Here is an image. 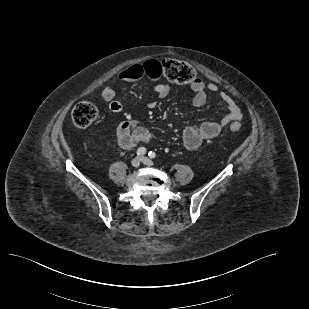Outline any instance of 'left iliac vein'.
<instances>
[{
  "instance_id": "obj_1",
  "label": "left iliac vein",
  "mask_w": 309,
  "mask_h": 309,
  "mask_svg": "<svg viewBox=\"0 0 309 309\" xmlns=\"http://www.w3.org/2000/svg\"><path fill=\"white\" fill-rule=\"evenodd\" d=\"M141 161L143 164L147 165V166H152L153 165V162L147 158V157H141Z\"/></svg>"
}]
</instances>
